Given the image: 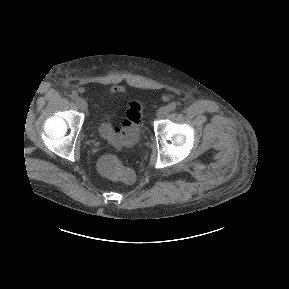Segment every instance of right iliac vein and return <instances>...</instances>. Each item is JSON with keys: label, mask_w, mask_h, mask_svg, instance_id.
<instances>
[{"label": "right iliac vein", "mask_w": 289, "mask_h": 289, "mask_svg": "<svg viewBox=\"0 0 289 289\" xmlns=\"http://www.w3.org/2000/svg\"><path fill=\"white\" fill-rule=\"evenodd\" d=\"M77 103V106L82 110V111H85L87 110V102L82 99V98H78V100L76 101Z\"/></svg>", "instance_id": "63e3f726"}]
</instances>
